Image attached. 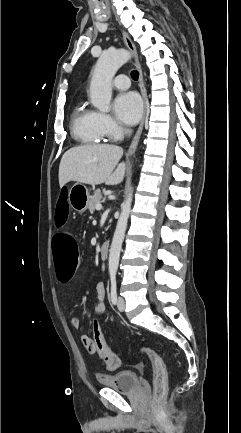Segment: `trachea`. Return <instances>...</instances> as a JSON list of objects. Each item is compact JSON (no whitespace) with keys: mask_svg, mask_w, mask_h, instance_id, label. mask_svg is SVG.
<instances>
[{"mask_svg":"<svg viewBox=\"0 0 241 433\" xmlns=\"http://www.w3.org/2000/svg\"><path fill=\"white\" fill-rule=\"evenodd\" d=\"M131 77H132L133 80L137 81L138 78H139V72L137 70H133L131 72Z\"/></svg>","mask_w":241,"mask_h":433,"instance_id":"obj_1","label":"trachea"}]
</instances>
